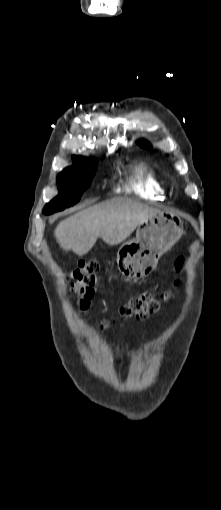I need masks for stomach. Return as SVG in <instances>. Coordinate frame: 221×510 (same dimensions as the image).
I'll return each instance as SVG.
<instances>
[{
    "mask_svg": "<svg viewBox=\"0 0 221 510\" xmlns=\"http://www.w3.org/2000/svg\"><path fill=\"white\" fill-rule=\"evenodd\" d=\"M181 218L168 211H160L139 225L136 237L123 243L117 252V265L123 277L138 281L147 277L159 258L182 236Z\"/></svg>",
    "mask_w": 221,
    "mask_h": 510,
    "instance_id": "1",
    "label": "stomach"
}]
</instances>
